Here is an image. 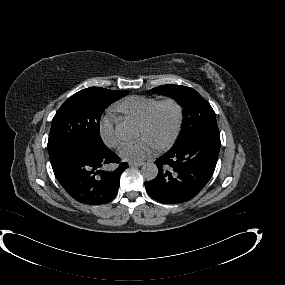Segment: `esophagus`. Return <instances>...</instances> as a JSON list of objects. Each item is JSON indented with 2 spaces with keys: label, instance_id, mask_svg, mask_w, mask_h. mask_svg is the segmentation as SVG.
Instances as JSON below:
<instances>
[{
  "label": "esophagus",
  "instance_id": "34e87169",
  "mask_svg": "<svg viewBox=\"0 0 285 285\" xmlns=\"http://www.w3.org/2000/svg\"><path fill=\"white\" fill-rule=\"evenodd\" d=\"M142 164H143L142 161H131V162H129V166H130V167H139V166H141Z\"/></svg>",
  "mask_w": 285,
  "mask_h": 285
}]
</instances>
